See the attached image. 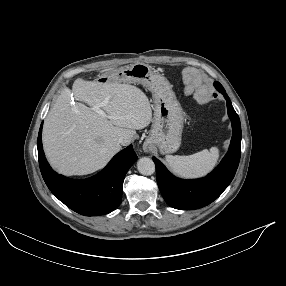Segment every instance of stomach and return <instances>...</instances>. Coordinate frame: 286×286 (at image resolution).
I'll use <instances>...</instances> for the list:
<instances>
[{
	"label": "stomach",
	"mask_w": 286,
	"mask_h": 286,
	"mask_svg": "<svg viewBox=\"0 0 286 286\" xmlns=\"http://www.w3.org/2000/svg\"><path fill=\"white\" fill-rule=\"evenodd\" d=\"M105 77L111 82L142 84L152 92L154 119L144 146L158 148L163 154L176 152L181 144L184 112L169 81L142 62L112 70Z\"/></svg>",
	"instance_id": "0dacf381"
}]
</instances>
